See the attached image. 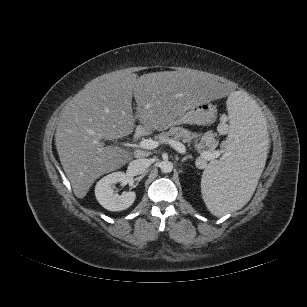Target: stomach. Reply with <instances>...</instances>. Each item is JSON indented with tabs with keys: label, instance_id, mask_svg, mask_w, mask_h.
Segmentation results:
<instances>
[{
	"label": "stomach",
	"instance_id": "obj_1",
	"mask_svg": "<svg viewBox=\"0 0 307 307\" xmlns=\"http://www.w3.org/2000/svg\"><path fill=\"white\" fill-rule=\"evenodd\" d=\"M216 114L217 111L214 105L208 102H201L193 105L182 114L172 118L169 123L158 128L167 129L170 126L177 124L206 125L215 120Z\"/></svg>",
	"mask_w": 307,
	"mask_h": 307
}]
</instances>
